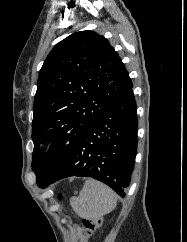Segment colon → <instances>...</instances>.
Wrapping results in <instances>:
<instances>
[{
    "label": "colon",
    "instance_id": "1",
    "mask_svg": "<svg viewBox=\"0 0 187 242\" xmlns=\"http://www.w3.org/2000/svg\"><path fill=\"white\" fill-rule=\"evenodd\" d=\"M101 223H102L101 216H95V217L83 220L81 224V228L84 235L91 236L95 232V230L100 227Z\"/></svg>",
    "mask_w": 187,
    "mask_h": 242
}]
</instances>
